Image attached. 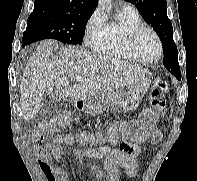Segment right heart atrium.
Here are the masks:
<instances>
[{
  "label": "right heart atrium",
  "mask_w": 197,
  "mask_h": 181,
  "mask_svg": "<svg viewBox=\"0 0 197 181\" xmlns=\"http://www.w3.org/2000/svg\"><path fill=\"white\" fill-rule=\"evenodd\" d=\"M104 23V17L100 9H95L89 16L85 25V41L91 43L99 33Z\"/></svg>",
  "instance_id": "1"
}]
</instances>
